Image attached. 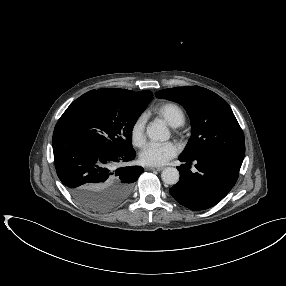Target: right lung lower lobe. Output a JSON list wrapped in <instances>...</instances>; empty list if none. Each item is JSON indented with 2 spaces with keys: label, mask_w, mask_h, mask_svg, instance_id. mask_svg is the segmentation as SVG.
Segmentation results:
<instances>
[{
  "label": "right lung lower lobe",
  "mask_w": 286,
  "mask_h": 286,
  "mask_svg": "<svg viewBox=\"0 0 286 286\" xmlns=\"http://www.w3.org/2000/svg\"><path fill=\"white\" fill-rule=\"evenodd\" d=\"M52 144L59 179L87 207L108 210L119 205L143 173L141 167L123 165L135 158L133 149L107 151L87 142L62 123L55 126Z\"/></svg>",
  "instance_id": "98d812e1"
}]
</instances>
